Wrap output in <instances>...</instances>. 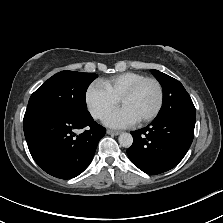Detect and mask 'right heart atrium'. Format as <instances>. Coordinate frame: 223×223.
I'll return each instance as SVG.
<instances>
[{
	"label": "right heart atrium",
	"instance_id": "right-heart-atrium-1",
	"mask_svg": "<svg viewBox=\"0 0 223 223\" xmlns=\"http://www.w3.org/2000/svg\"><path fill=\"white\" fill-rule=\"evenodd\" d=\"M84 98L87 110L95 119H103L118 104V99L111 95L100 80L87 86Z\"/></svg>",
	"mask_w": 223,
	"mask_h": 223
}]
</instances>
